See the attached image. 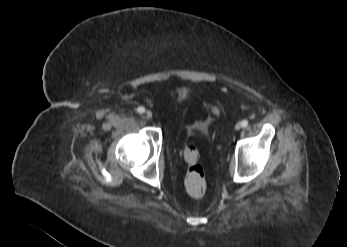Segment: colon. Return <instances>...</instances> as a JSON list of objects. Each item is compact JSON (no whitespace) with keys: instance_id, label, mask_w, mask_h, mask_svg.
I'll return each instance as SVG.
<instances>
[{"instance_id":"5ec220e1","label":"colon","mask_w":347,"mask_h":247,"mask_svg":"<svg viewBox=\"0 0 347 247\" xmlns=\"http://www.w3.org/2000/svg\"><path fill=\"white\" fill-rule=\"evenodd\" d=\"M212 111L215 114H219L220 108L218 106H213ZM184 159L188 166L184 181L186 192L192 198H201L206 191V181L204 168L200 163L198 149L192 144L186 145L184 149Z\"/></svg>"}]
</instances>
